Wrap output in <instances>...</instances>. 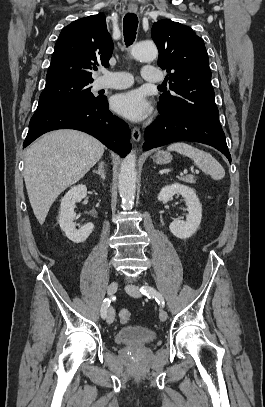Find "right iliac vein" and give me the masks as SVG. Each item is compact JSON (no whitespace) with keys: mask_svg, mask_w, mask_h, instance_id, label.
Segmentation results:
<instances>
[{"mask_svg":"<svg viewBox=\"0 0 265 407\" xmlns=\"http://www.w3.org/2000/svg\"><path fill=\"white\" fill-rule=\"evenodd\" d=\"M117 288H118L117 282L110 283L107 288L108 295L112 296L117 291ZM114 318L115 312L112 308H109L106 316L107 323L111 324L114 321Z\"/></svg>","mask_w":265,"mask_h":407,"instance_id":"1","label":"right iliac vein"}]
</instances>
